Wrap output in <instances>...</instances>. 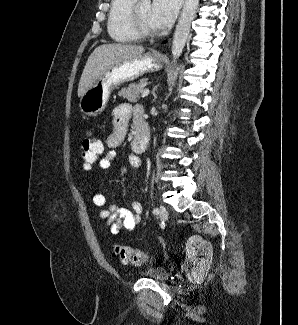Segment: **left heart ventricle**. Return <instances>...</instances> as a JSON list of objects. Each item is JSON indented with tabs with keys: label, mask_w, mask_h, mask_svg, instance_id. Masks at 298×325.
Returning <instances> with one entry per match:
<instances>
[{
	"label": "left heart ventricle",
	"mask_w": 298,
	"mask_h": 325,
	"mask_svg": "<svg viewBox=\"0 0 298 325\" xmlns=\"http://www.w3.org/2000/svg\"><path fill=\"white\" fill-rule=\"evenodd\" d=\"M138 17L141 26L149 31V32H160L161 29L158 27V25L155 22V19L153 17L152 13V3L149 1H144L141 3L139 10H138Z\"/></svg>",
	"instance_id": "left-heart-ventricle-1"
}]
</instances>
